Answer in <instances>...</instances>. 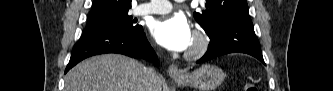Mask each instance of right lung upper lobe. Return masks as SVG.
<instances>
[{
    "label": "right lung upper lobe",
    "instance_id": "right-lung-upper-lobe-1",
    "mask_svg": "<svg viewBox=\"0 0 333 91\" xmlns=\"http://www.w3.org/2000/svg\"><path fill=\"white\" fill-rule=\"evenodd\" d=\"M131 8V0H94L90 18L120 14Z\"/></svg>",
    "mask_w": 333,
    "mask_h": 91
}]
</instances>
